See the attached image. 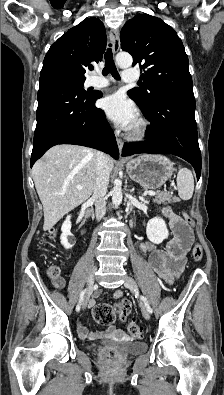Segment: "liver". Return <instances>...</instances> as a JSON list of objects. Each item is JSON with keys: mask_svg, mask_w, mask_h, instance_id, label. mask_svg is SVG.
<instances>
[{"mask_svg": "<svg viewBox=\"0 0 224 395\" xmlns=\"http://www.w3.org/2000/svg\"><path fill=\"white\" fill-rule=\"evenodd\" d=\"M110 171L114 160L107 156ZM97 151L77 145L49 149L32 168L43 205V230H50L65 214L86 201L94 190ZM77 186L82 189L78 190Z\"/></svg>", "mask_w": 224, "mask_h": 395, "instance_id": "obj_1", "label": "liver"}]
</instances>
